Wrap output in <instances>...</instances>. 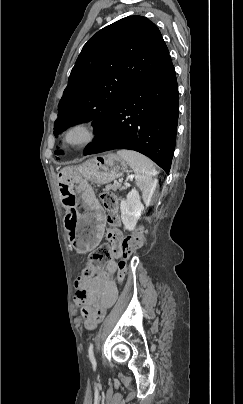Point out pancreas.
<instances>
[{
    "instance_id": "pancreas-1",
    "label": "pancreas",
    "mask_w": 243,
    "mask_h": 404,
    "mask_svg": "<svg viewBox=\"0 0 243 404\" xmlns=\"http://www.w3.org/2000/svg\"><path fill=\"white\" fill-rule=\"evenodd\" d=\"M106 192L108 190H113V192H117V190H126V186H121V184H113V186H106Z\"/></svg>"
}]
</instances>
